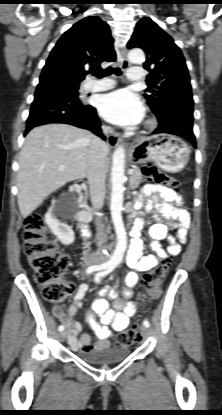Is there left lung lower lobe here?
Segmentation results:
<instances>
[{"label":"left lung lower lobe","mask_w":222,"mask_h":415,"mask_svg":"<svg viewBox=\"0 0 222 415\" xmlns=\"http://www.w3.org/2000/svg\"><path fill=\"white\" fill-rule=\"evenodd\" d=\"M182 104V114L179 116L164 115L158 119L159 126L153 131L154 134L167 133L185 138L196 146L193 133V99L192 93L184 91L179 94Z\"/></svg>","instance_id":"left-lung-lower-lobe-1"}]
</instances>
